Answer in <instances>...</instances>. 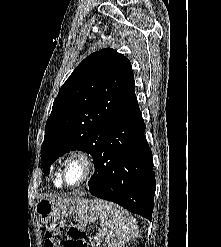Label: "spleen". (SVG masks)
Returning a JSON list of instances; mask_svg holds the SVG:
<instances>
[{"mask_svg":"<svg viewBox=\"0 0 221 247\" xmlns=\"http://www.w3.org/2000/svg\"><path fill=\"white\" fill-rule=\"evenodd\" d=\"M100 225L106 238L104 247H124L138 236L135 218L122 207L99 200Z\"/></svg>","mask_w":221,"mask_h":247,"instance_id":"spleen-1","label":"spleen"}]
</instances>
